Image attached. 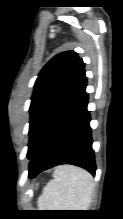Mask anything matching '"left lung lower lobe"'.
I'll return each mask as SVG.
<instances>
[{
  "mask_svg": "<svg viewBox=\"0 0 123 219\" xmlns=\"http://www.w3.org/2000/svg\"><path fill=\"white\" fill-rule=\"evenodd\" d=\"M86 78L54 111L30 156L29 177L60 164L82 167L95 175Z\"/></svg>",
  "mask_w": 123,
  "mask_h": 219,
  "instance_id": "1",
  "label": "left lung lower lobe"
}]
</instances>
